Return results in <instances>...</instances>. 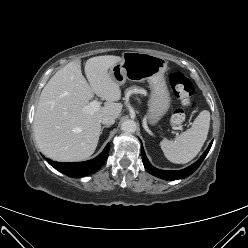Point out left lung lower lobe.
I'll list each match as a JSON object with an SVG mask.
<instances>
[{"mask_svg": "<svg viewBox=\"0 0 248 248\" xmlns=\"http://www.w3.org/2000/svg\"><path fill=\"white\" fill-rule=\"evenodd\" d=\"M212 142L209 144L208 148L202 154V156L194 164H192L191 166H189L185 169L178 170V171L160 170V169H157L154 166H152L150 164V162L148 161V159L145 155V151H144L143 146H142V160H143L144 167L146 168V170L150 174H152L156 177L165 179V180H177V179L186 178L189 175H191L199 167V165L202 163V161L204 160V158L206 157V155L208 154V152L211 148Z\"/></svg>", "mask_w": 248, "mask_h": 248, "instance_id": "obj_1", "label": "left lung lower lobe"}]
</instances>
